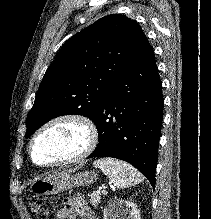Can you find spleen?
Wrapping results in <instances>:
<instances>
[{
	"label": "spleen",
	"mask_w": 211,
	"mask_h": 219,
	"mask_svg": "<svg viewBox=\"0 0 211 219\" xmlns=\"http://www.w3.org/2000/svg\"><path fill=\"white\" fill-rule=\"evenodd\" d=\"M93 165L108 176L118 189L129 188L143 181L142 174L126 162L113 158H101Z\"/></svg>",
	"instance_id": "1"
}]
</instances>
